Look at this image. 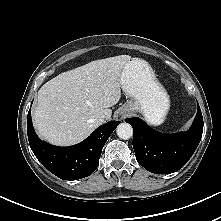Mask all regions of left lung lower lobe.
Here are the masks:
<instances>
[{
  "mask_svg": "<svg viewBox=\"0 0 221 221\" xmlns=\"http://www.w3.org/2000/svg\"><path fill=\"white\" fill-rule=\"evenodd\" d=\"M134 130L133 148L137 161L155 174H169L181 169L195 152L203 132V117L198 106L190 129L176 134H162L139 118H126Z\"/></svg>",
  "mask_w": 221,
  "mask_h": 221,
  "instance_id": "left-lung-lower-lobe-1",
  "label": "left lung lower lobe"
}]
</instances>
